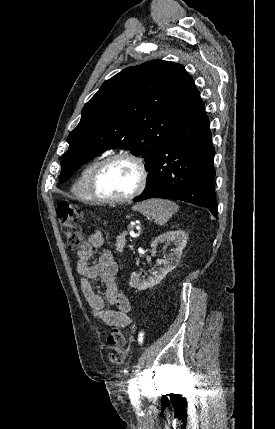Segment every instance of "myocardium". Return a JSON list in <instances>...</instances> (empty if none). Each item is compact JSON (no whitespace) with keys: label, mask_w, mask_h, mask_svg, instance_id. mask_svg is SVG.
<instances>
[{"label":"myocardium","mask_w":275,"mask_h":429,"mask_svg":"<svg viewBox=\"0 0 275 429\" xmlns=\"http://www.w3.org/2000/svg\"><path fill=\"white\" fill-rule=\"evenodd\" d=\"M116 160H127L132 162L138 170V182L136 187L128 195L119 197V198H105L99 195L97 191V180L101 171L111 162ZM147 169L143 160L137 155L130 152H119L111 154L104 159H102L92 170L89 181H88V191L93 201L100 204L115 205L122 204L133 200L144 190L147 182Z\"/></svg>","instance_id":"f54148a6"}]
</instances>
